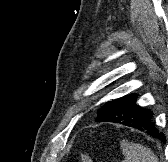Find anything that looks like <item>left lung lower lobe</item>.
I'll return each mask as SVG.
<instances>
[{
	"instance_id": "0a47b994",
	"label": "left lung lower lobe",
	"mask_w": 168,
	"mask_h": 162,
	"mask_svg": "<svg viewBox=\"0 0 168 162\" xmlns=\"http://www.w3.org/2000/svg\"><path fill=\"white\" fill-rule=\"evenodd\" d=\"M136 94L127 95L107 102L102 109L98 122H113L134 127L166 143V138L159 132L153 122V111L136 104Z\"/></svg>"
}]
</instances>
